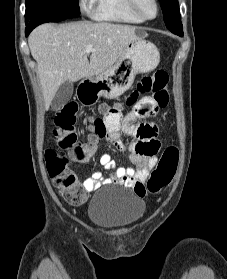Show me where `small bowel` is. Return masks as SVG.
I'll use <instances>...</instances> for the list:
<instances>
[{
  "label": "small bowel",
  "instance_id": "obj_1",
  "mask_svg": "<svg viewBox=\"0 0 227 279\" xmlns=\"http://www.w3.org/2000/svg\"><path fill=\"white\" fill-rule=\"evenodd\" d=\"M146 101V100H143ZM141 101V102H143ZM155 112L149 114L148 116L154 115ZM115 122L119 125H122L123 129L132 128L133 121L131 119H125L122 121L121 117L116 114ZM112 125L111 116H108V119L105 121L106 130L101 134L93 135V138H90L91 144H95L96 140L99 139H107L112 142L116 148L125 154L135 165L136 167H117L114 166V161L111 155L105 153L100 156L99 162L104 167L105 170H111L109 175H105L101 171L94 172L91 176L87 177L83 182V194L80 196L79 204H83L87 198L88 194L92 191H95L100 186L104 184H113V183H122L126 184V182L130 179H136L141 182L143 189L146 191L145 183L148 179L150 170L157 163L156 154L152 157H145L138 154L135 151L130 150L126 145L122 143V141L117 137L118 132H113L109 130V127ZM141 125L149 126L153 129L154 135L144 141L155 143L158 147L160 146V141L157 138L159 133V127L155 123H142ZM54 183H57L56 178H52Z\"/></svg>",
  "mask_w": 227,
  "mask_h": 279
}]
</instances>
